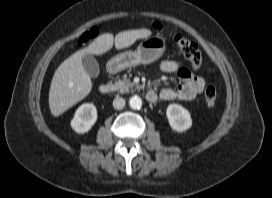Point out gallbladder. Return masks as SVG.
<instances>
[{"label":"gallbladder","mask_w":272,"mask_h":198,"mask_svg":"<svg viewBox=\"0 0 272 198\" xmlns=\"http://www.w3.org/2000/svg\"><path fill=\"white\" fill-rule=\"evenodd\" d=\"M82 65L89 76L97 77L99 75V64L93 56L85 54L82 58Z\"/></svg>","instance_id":"gallbladder-1"}]
</instances>
